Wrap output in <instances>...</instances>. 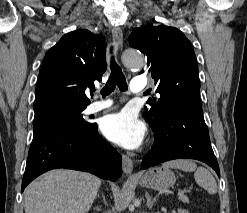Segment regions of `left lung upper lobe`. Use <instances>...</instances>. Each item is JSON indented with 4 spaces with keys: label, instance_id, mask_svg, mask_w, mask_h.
Listing matches in <instances>:
<instances>
[{
    "label": "left lung upper lobe",
    "instance_id": "5c2ea615",
    "mask_svg": "<svg viewBox=\"0 0 247 213\" xmlns=\"http://www.w3.org/2000/svg\"><path fill=\"white\" fill-rule=\"evenodd\" d=\"M129 45L147 56L149 72L157 85V98L149 99L144 118L157 128L174 105L202 113L200 81L193 46L174 27L144 24L133 29Z\"/></svg>",
    "mask_w": 247,
    "mask_h": 213
}]
</instances>
